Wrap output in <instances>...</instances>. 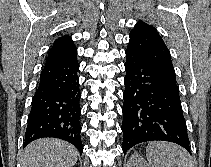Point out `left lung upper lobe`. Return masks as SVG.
<instances>
[{"label":"left lung upper lobe","instance_id":"1","mask_svg":"<svg viewBox=\"0 0 211 167\" xmlns=\"http://www.w3.org/2000/svg\"><path fill=\"white\" fill-rule=\"evenodd\" d=\"M126 51L140 54L154 63L166 75L176 81L170 52L157 30L143 21L136 23L130 32Z\"/></svg>","mask_w":211,"mask_h":167}]
</instances>
